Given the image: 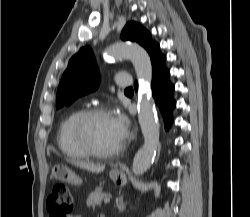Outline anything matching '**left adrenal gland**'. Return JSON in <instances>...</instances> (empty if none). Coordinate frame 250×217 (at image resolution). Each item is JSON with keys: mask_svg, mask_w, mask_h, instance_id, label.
<instances>
[{"mask_svg": "<svg viewBox=\"0 0 250 217\" xmlns=\"http://www.w3.org/2000/svg\"><path fill=\"white\" fill-rule=\"evenodd\" d=\"M117 207L119 209L120 212H123L125 210V204L123 202V198L120 197L118 200H117Z\"/></svg>", "mask_w": 250, "mask_h": 217, "instance_id": "1", "label": "left adrenal gland"}]
</instances>
